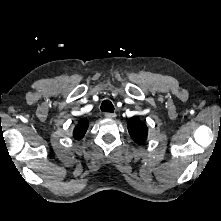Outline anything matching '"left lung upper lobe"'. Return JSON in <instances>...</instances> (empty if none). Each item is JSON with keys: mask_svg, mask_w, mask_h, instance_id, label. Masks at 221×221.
Here are the masks:
<instances>
[{"mask_svg": "<svg viewBox=\"0 0 221 221\" xmlns=\"http://www.w3.org/2000/svg\"><path fill=\"white\" fill-rule=\"evenodd\" d=\"M131 138L138 144H143L147 139L148 128L139 118L132 117L127 123Z\"/></svg>", "mask_w": 221, "mask_h": 221, "instance_id": "1", "label": "left lung upper lobe"}]
</instances>
